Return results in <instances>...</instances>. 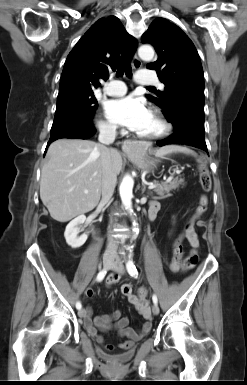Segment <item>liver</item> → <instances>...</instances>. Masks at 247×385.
Listing matches in <instances>:
<instances>
[{"mask_svg": "<svg viewBox=\"0 0 247 385\" xmlns=\"http://www.w3.org/2000/svg\"><path fill=\"white\" fill-rule=\"evenodd\" d=\"M103 152L100 144L84 139L63 138L49 146L48 160L41 171L40 198L54 220L67 222L98 205ZM109 154L118 175L122 169L121 154L113 148Z\"/></svg>", "mask_w": 247, "mask_h": 385, "instance_id": "1", "label": "liver"}]
</instances>
